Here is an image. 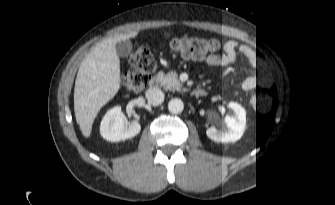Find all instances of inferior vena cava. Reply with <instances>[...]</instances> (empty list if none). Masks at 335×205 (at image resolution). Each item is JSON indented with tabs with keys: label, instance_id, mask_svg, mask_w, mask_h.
Listing matches in <instances>:
<instances>
[{
	"label": "inferior vena cava",
	"instance_id": "obj_1",
	"mask_svg": "<svg viewBox=\"0 0 335 205\" xmlns=\"http://www.w3.org/2000/svg\"><path fill=\"white\" fill-rule=\"evenodd\" d=\"M146 97L151 103L160 104L164 100V93L159 89H149Z\"/></svg>",
	"mask_w": 335,
	"mask_h": 205
}]
</instances>
